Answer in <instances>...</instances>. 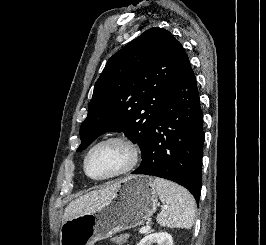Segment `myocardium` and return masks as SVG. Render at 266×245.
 Segmentation results:
<instances>
[{"mask_svg": "<svg viewBox=\"0 0 266 245\" xmlns=\"http://www.w3.org/2000/svg\"><path fill=\"white\" fill-rule=\"evenodd\" d=\"M109 141H118V142H121L127 146V148L129 149V153H130L129 163H128L127 167L118 174H115V175H112L109 177H105V178L93 177L87 171L88 158H89L91 152L97 146H99L100 144H103L105 142H109ZM140 158H141V150H140L139 146L133 140H131L125 136H122V135H109V136L103 137L100 140L96 141L94 144H92L88 148V150L86 151L84 158H83L82 168H83L84 174L89 179L94 180V181H99V182H106V181L121 179V178L127 176L128 174H130L131 172H133L135 170V168L137 167Z\"/></svg>", "mask_w": 266, "mask_h": 245, "instance_id": "obj_1", "label": "myocardium"}]
</instances>
